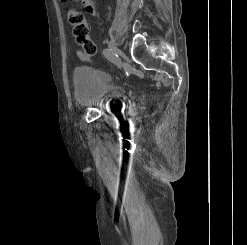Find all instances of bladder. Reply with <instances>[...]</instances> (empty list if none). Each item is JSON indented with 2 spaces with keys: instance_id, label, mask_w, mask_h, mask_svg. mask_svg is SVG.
<instances>
[{
  "instance_id": "obj_1",
  "label": "bladder",
  "mask_w": 247,
  "mask_h": 245,
  "mask_svg": "<svg viewBox=\"0 0 247 245\" xmlns=\"http://www.w3.org/2000/svg\"><path fill=\"white\" fill-rule=\"evenodd\" d=\"M74 100L81 107L115 109L120 107L127 95L124 85L112 81L100 70L82 66L73 73Z\"/></svg>"
}]
</instances>
